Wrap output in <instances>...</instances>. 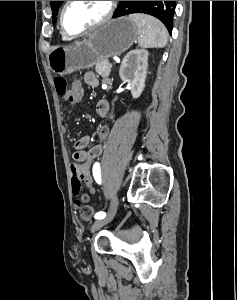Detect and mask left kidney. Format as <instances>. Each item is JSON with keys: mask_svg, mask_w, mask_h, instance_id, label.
Wrapping results in <instances>:
<instances>
[{"mask_svg": "<svg viewBox=\"0 0 237 300\" xmlns=\"http://www.w3.org/2000/svg\"><path fill=\"white\" fill-rule=\"evenodd\" d=\"M148 51L134 49L129 51L122 61L119 75L124 83L130 85V91L134 99L140 97L144 87L148 69Z\"/></svg>", "mask_w": 237, "mask_h": 300, "instance_id": "5707ae66", "label": "left kidney"}]
</instances>
